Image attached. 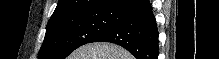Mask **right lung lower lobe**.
Returning <instances> with one entry per match:
<instances>
[{
  "label": "right lung lower lobe",
  "instance_id": "98d812e1",
  "mask_svg": "<svg viewBox=\"0 0 219 59\" xmlns=\"http://www.w3.org/2000/svg\"><path fill=\"white\" fill-rule=\"evenodd\" d=\"M122 19L92 42L120 45L137 59H157L158 30L148 0H123L113 7Z\"/></svg>",
  "mask_w": 219,
  "mask_h": 59
}]
</instances>
